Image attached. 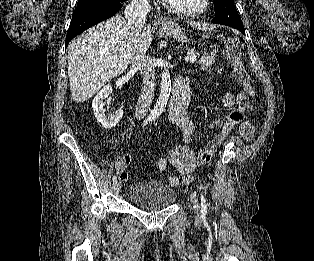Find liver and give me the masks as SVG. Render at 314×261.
I'll list each match as a JSON object with an SVG mask.
<instances>
[{
	"label": "liver",
	"instance_id": "liver-1",
	"mask_svg": "<svg viewBox=\"0 0 314 261\" xmlns=\"http://www.w3.org/2000/svg\"><path fill=\"white\" fill-rule=\"evenodd\" d=\"M151 42L150 25H145L139 36L134 37L127 19L119 15L82 33L68 49L72 99L81 103L94 96L127 69L134 45L146 52Z\"/></svg>",
	"mask_w": 314,
	"mask_h": 261
}]
</instances>
